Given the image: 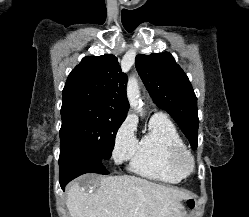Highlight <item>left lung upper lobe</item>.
Segmentation results:
<instances>
[{"label": "left lung upper lobe", "instance_id": "1", "mask_svg": "<svg viewBox=\"0 0 249 217\" xmlns=\"http://www.w3.org/2000/svg\"><path fill=\"white\" fill-rule=\"evenodd\" d=\"M135 64L154 103L173 117L196 149L197 98L187 75L168 52L137 55Z\"/></svg>", "mask_w": 249, "mask_h": 217}]
</instances>
